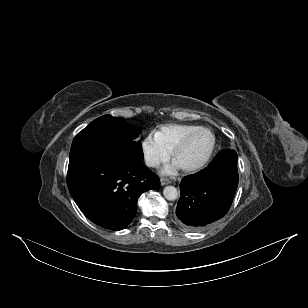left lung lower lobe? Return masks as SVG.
Returning a JSON list of instances; mask_svg holds the SVG:
<instances>
[{
    "label": "left lung lower lobe",
    "instance_id": "left-lung-lower-lobe-1",
    "mask_svg": "<svg viewBox=\"0 0 308 308\" xmlns=\"http://www.w3.org/2000/svg\"><path fill=\"white\" fill-rule=\"evenodd\" d=\"M237 186V153L222 150L207 168L183 178L177 222L197 231L222 218L231 207Z\"/></svg>",
    "mask_w": 308,
    "mask_h": 308
}]
</instances>
